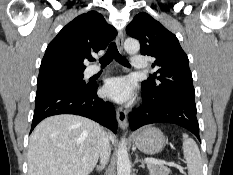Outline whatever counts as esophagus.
<instances>
[{"label":"esophagus","mask_w":233,"mask_h":175,"mask_svg":"<svg viewBox=\"0 0 233 175\" xmlns=\"http://www.w3.org/2000/svg\"><path fill=\"white\" fill-rule=\"evenodd\" d=\"M117 46L120 51H123V42H124V34L122 31L118 32L117 38H116ZM117 114V121L119 124V127L121 129H126L127 127V111L123 109L122 107H118L116 110Z\"/></svg>","instance_id":"34e87169"}]
</instances>
